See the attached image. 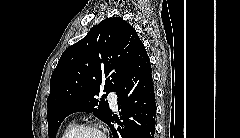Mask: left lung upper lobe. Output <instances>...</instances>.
<instances>
[{
    "label": "left lung upper lobe",
    "instance_id": "obj_1",
    "mask_svg": "<svg viewBox=\"0 0 240 138\" xmlns=\"http://www.w3.org/2000/svg\"><path fill=\"white\" fill-rule=\"evenodd\" d=\"M143 46L135 29L122 18H106L68 47L50 80L48 135L54 138L62 121L74 112H93L107 123L108 102L95 97L116 92Z\"/></svg>",
    "mask_w": 240,
    "mask_h": 138
}]
</instances>
